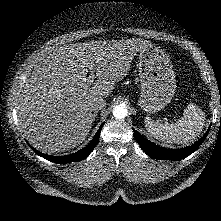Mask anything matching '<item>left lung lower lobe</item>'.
<instances>
[{
    "mask_svg": "<svg viewBox=\"0 0 221 221\" xmlns=\"http://www.w3.org/2000/svg\"><path fill=\"white\" fill-rule=\"evenodd\" d=\"M210 127L208 131L204 134V136L198 140L196 143L192 144L189 147L180 148V149H168L164 147H160L158 145L153 144L151 141L144 138L140 135L136 130L134 131L135 139L138 144L142 148V150L152 158L161 159V160H181L192 154L197 148L202 144L207 134L209 133Z\"/></svg>",
    "mask_w": 221,
    "mask_h": 221,
    "instance_id": "1",
    "label": "left lung lower lobe"
}]
</instances>
